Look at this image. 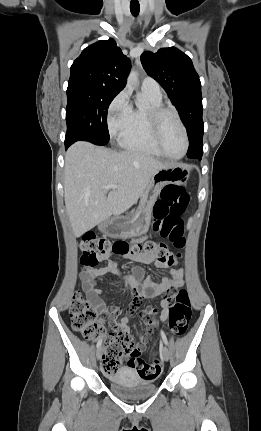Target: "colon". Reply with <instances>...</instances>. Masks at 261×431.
I'll list each match as a JSON object with an SVG mask.
<instances>
[{"mask_svg":"<svg viewBox=\"0 0 261 431\" xmlns=\"http://www.w3.org/2000/svg\"><path fill=\"white\" fill-rule=\"evenodd\" d=\"M189 203V195L182 186L169 184L163 187L160 199L154 206L153 230L162 238L170 240L174 247L181 250L185 246L182 214ZM81 263L87 268H94L100 259L115 254L121 257L152 255L158 261L174 264L181 254H172L164 242L147 240L129 244L118 240L110 242L108 239L88 234L79 242ZM135 294V293H134ZM168 304V326L174 336L183 335L191 318L192 309L188 291L172 290L165 293L163 299ZM142 318L144 315H137ZM72 327L88 340L94 339L103 329V322L91 308L90 303L77 292L70 305ZM146 323V322H144ZM126 359L130 367L138 373L143 383H155L159 380L161 366L157 358L148 364L140 358V353L134 348L130 335L119 332L107 334L102 354V369L111 374L118 370L122 361Z\"/></svg>","mask_w":261,"mask_h":431,"instance_id":"obj_1","label":"colon"}]
</instances>
